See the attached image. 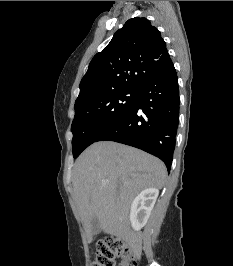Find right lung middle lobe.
<instances>
[{
	"instance_id": "right-lung-middle-lobe-1",
	"label": "right lung middle lobe",
	"mask_w": 233,
	"mask_h": 266,
	"mask_svg": "<svg viewBox=\"0 0 233 266\" xmlns=\"http://www.w3.org/2000/svg\"><path fill=\"white\" fill-rule=\"evenodd\" d=\"M138 89L123 88L100 92L75 103L71 126L74 158L113 125L134 103Z\"/></svg>"
}]
</instances>
